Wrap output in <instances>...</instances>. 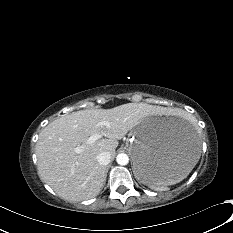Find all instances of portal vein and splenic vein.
Returning a JSON list of instances; mask_svg holds the SVG:
<instances>
[{
	"instance_id": "1",
	"label": "portal vein and splenic vein",
	"mask_w": 233,
	"mask_h": 233,
	"mask_svg": "<svg viewBox=\"0 0 233 233\" xmlns=\"http://www.w3.org/2000/svg\"><path fill=\"white\" fill-rule=\"evenodd\" d=\"M99 125H103V126H107L109 127L110 126V123L107 122V121H102L99 123ZM102 138V134H94V135H91L88 139H87V143L88 144H92L94 142H96L97 140L101 139ZM83 151V146H77L75 148V152L76 153H81Z\"/></svg>"
}]
</instances>
